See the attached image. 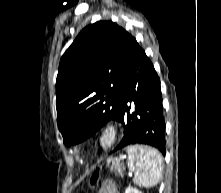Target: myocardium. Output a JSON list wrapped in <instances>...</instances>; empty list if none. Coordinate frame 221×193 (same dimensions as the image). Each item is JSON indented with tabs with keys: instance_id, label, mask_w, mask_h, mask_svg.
<instances>
[{
	"instance_id": "myocardium-1",
	"label": "myocardium",
	"mask_w": 221,
	"mask_h": 193,
	"mask_svg": "<svg viewBox=\"0 0 221 193\" xmlns=\"http://www.w3.org/2000/svg\"><path fill=\"white\" fill-rule=\"evenodd\" d=\"M120 137L119 126L112 121L104 123L97 135V143L103 150H110L118 142Z\"/></svg>"
}]
</instances>
